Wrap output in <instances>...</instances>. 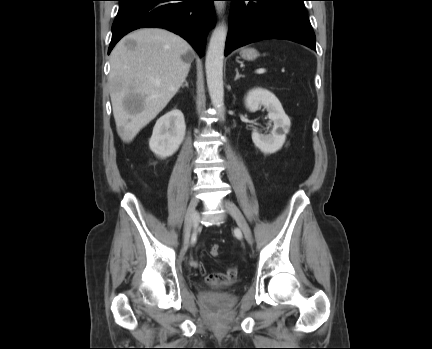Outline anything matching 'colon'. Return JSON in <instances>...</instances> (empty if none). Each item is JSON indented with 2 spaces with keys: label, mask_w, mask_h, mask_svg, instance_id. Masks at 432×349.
<instances>
[{
  "label": "colon",
  "mask_w": 432,
  "mask_h": 349,
  "mask_svg": "<svg viewBox=\"0 0 432 349\" xmlns=\"http://www.w3.org/2000/svg\"><path fill=\"white\" fill-rule=\"evenodd\" d=\"M210 254L213 257L219 256V254H220V247H219V245H217V244L212 245L211 248H210Z\"/></svg>",
  "instance_id": "5ec220e1"
}]
</instances>
